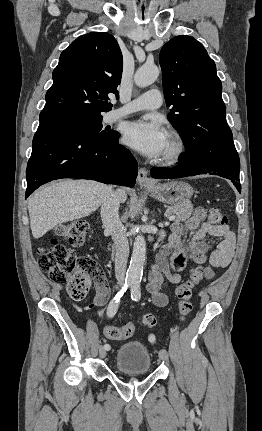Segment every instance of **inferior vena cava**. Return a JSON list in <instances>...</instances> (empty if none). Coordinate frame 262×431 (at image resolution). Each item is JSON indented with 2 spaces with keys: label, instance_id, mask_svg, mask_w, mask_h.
I'll list each match as a JSON object with an SVG mask.
<instances>
[{
  "label": "inferior vena cava",
  "instance_id": "obj_1",
  "mask_svg": "<svg viewBox=\"0 0 262 431\" xmlns=\"http://www.w3.org/2000/svg\"><path fill=\"white\" fill-rule=\"evenodd\" d=\"M119 204V190L114 192L110 189L101 204V218L105 230L111 233L115 243V276L118 284L122 285L125 280L129 244L126 229L119 219Z\"/></svg>",
  "mask_w": 262,
  "mask_h": 431
}]
</instances>
